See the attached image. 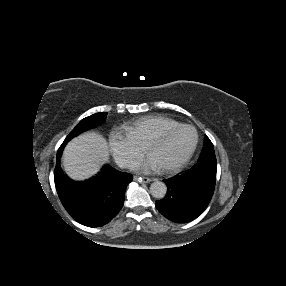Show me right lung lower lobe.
I'll return each instance as SVG.
<instances>
[{
	"instance_id": "obj_1",
	"label": "right lung lower lobe",
	"mask_w": 286,
	"mask_h": 286,
	"mask_svg": "<svg viewBox=\"0 0 286 286\" xmlns=\"http://www.w3.org/2000/svg\"><path fill=\"white\" fill-rule=\"evenodd\" d=\"M65 145H61L54 170L58 196L67 212L82 225L100 227L117 215L124 204L127 185L132 175L104 166L93 178L73 181L60 167V157Z\"/></svg>"
}]
</instances>
